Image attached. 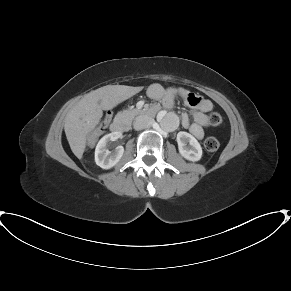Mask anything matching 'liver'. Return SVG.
Listing matches in <instances>:
<instances>
[{"mask_svg": "<svg viewBox=\"0 0 291 291\" xmlns=\"http://www.w3.org/2000/svg\"><path fill=\"white\" fill-rule=\"evenodd\" d=\"M142 90L141 87L107 85L86 94L65 117L64 130L74 155L81 159L86 135L100 122L103 110L112 109Z\"/></svg>", "mask_w": 291, "mask_h": 291, "instance_id": "6515ba94", "label": "liver"}]
</instances>
